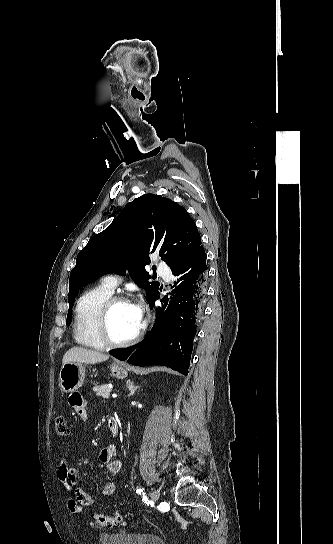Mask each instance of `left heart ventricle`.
<instances>
[{"label":"left heart ventricle","mask_w":333,"mask_h":544,"mask_svg":"<svg viewBox=\"0 0 333 544\" xmlns=\"http://www.w3.org/2000/svg\"><path fill=\"white\" fill-rule=\"evenodd\" d=\"M140 323L137 321L132 304L121 303L116 305L109 317V331L113 339L123 341L133 336Z\"/></svg>","instance_id":"left-heart-ventricle-1"}]
</instances>
